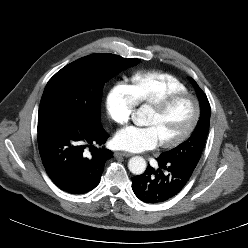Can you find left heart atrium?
<instances>
[{
	"label": "left heart atrium",
	"mask_w": 248,
	"mask_h": 248,
	"mask_svg": "<svg viewBox=\"0 0 248 248\" xmlns=\"http://www.w3.org/2000/svg\"><path fill=\"white\" fill-rule=\"evenodd\" d=\"M114 143L119 149L140 152L155 148L160 140L152 126H129L116 133Z\"/></svg>",
	"instance_id": "1"
}]
</instances>
